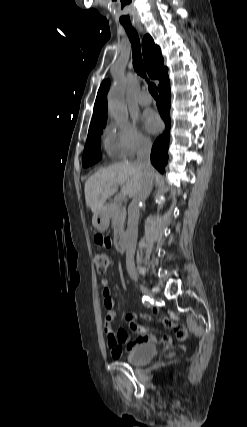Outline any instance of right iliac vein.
<instances>
[{
	"label": "right iliac vein",
	"instance_id": "1",
	"mask_svg": "<svg viewBox=\"0 0 247 427\" xmlns=\"http://www.w3.org/2000/svg\"><path fill=\"white\" fill-rule=\"evenodd\" d=\"M134 280L137 282L136 278H134ZM139 287L144 295H146L150 299H154L153 293H151L144 285L139 284Z\"/></svg>",
	"mask_w": 247,
	"mask_h": 427
}]
</instances>
